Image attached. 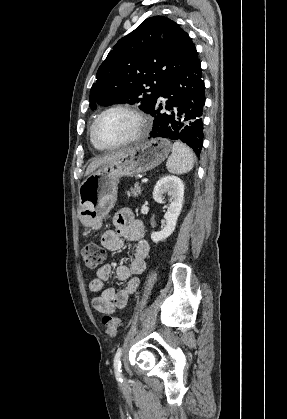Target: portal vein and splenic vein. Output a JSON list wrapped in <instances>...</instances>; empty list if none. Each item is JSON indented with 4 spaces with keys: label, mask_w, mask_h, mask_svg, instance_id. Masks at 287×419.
I'll return each mask as SVG.
<instances>
[{
    "label": "portal vein and splenic vein",
    "mask_w": 287,
    "mask_h": 419,
    "mask_svg": "<svg viewBox=\"0 0 287 419\" xmlns=\"http://www.w3.org/2000/svg\"><path fill=\"white\" fill-rule=\"evenodd\" d=\"M141 182H142V183H147V182H148V179H147V178H145V179H143Z\"/></svg>",
    "instance_id": "1"
}]
</instances>
